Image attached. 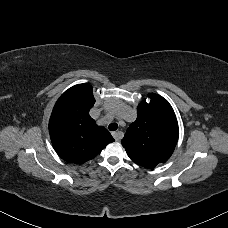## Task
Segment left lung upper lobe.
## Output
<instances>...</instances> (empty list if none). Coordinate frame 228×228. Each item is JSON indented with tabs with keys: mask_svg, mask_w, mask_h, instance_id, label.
Listing matches in <instances>:
<instances>
[{
	"mask_svg": "<svg viewBox=\"0 0 228 228\" xmlns=\"http://www.w3.org/2000/svg\"><path fill=\"white\" fill-rule=\"evenodd\" d=\"M150 103L137 108V119L122 139L129 157L145 168H154L172 155L179 135L175 113L167 100L149 94Z\"/></svg>",
	"mask_w": 228,
	"mask_h": 228,
	"instance_id": "5c2ea615",
	"label": "left lung upper lobe"
}]
</instances>
